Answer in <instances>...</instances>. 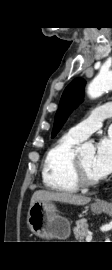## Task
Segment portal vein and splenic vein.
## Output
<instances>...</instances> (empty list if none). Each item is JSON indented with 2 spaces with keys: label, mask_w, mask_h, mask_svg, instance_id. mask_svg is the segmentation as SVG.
<instances>
[{
  "label": "portal vein and splenic vein",
  "mask_w": 112,
  "mask_h": 270,
  "mask_svg": "<svg viewBox=\"0 0 112 270\" xmlns=\"http://www.w3.org/2000/svg\"><path fill=\"white\" fill-rule=\"evenodd\" d=\"M93 236L91 234H88V236L86 237V242H91Z\"/></svg>",
  "instance_id": "portal-vein-and-splenic-vein-1"
}]
</instances>
